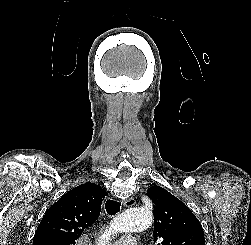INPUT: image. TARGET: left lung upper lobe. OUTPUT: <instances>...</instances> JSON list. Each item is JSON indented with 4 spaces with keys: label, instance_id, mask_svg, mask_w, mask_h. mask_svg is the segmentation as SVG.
I'll return each instance as SVG.
<instances>
[{
    "label": "left lung upper lobe",
    "instance_id": "left-lung-upper-lobe-1",
    "mask_svg": "<svg viewBox=\"0 0 251 245\" xmlns=\"http://www.w3.org/2000/svg\"><path fill=\"white\" fill-rule=\"evenodd\" d=\"M147 196L154 203V242L157 245H205L202 226L192 211L160 186Z\"/></svg>",
    "mask_w": 251,
    "mask_h": 245
}]
</instances>
